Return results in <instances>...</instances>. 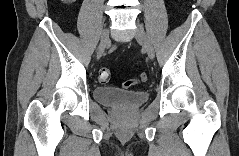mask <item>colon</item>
I'll return each instance as SVG.
<instances>
[{
	"instance_id": "obj_1",
	"label": "colon",
	"mask_w": 239,
	"mask_h": 156,
	"mask_svg": "<svg viewBox=\"0 0 239 156\" xmlns=\"http://www.w3.org/2000/svg\"><path fill=\"white\" fill-rule=\"evenodd\" d=\"M110 80V70L108 68H102L99 72V81L101 83H107ZM147 80L146 74H141L136 79H130L123 83L124 88H131Z\"/></svg>"
}]
</instances>
